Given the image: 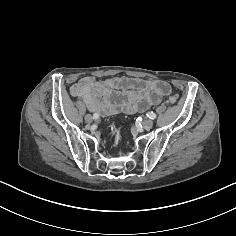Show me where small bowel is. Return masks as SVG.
Masks as SVG:
<instances>
[{"instance_id":"small-bowel-1","label":"small bowel","mask_w":236,"mask_h":236,"mask_svg":"<svg viewBox=\"0 0 236 236\" xmlns=\"http://www.w3.org/2000/svg\"><path fill=\"white\" fill-rule=\"evenodd\" d=\"M70 92L80 98L90 111L109 116L145 111L168 96L171 87L167 82L155 79L123 76L96 81L91 76H85L71 86Z\"/></svg>"}]
</instances>
